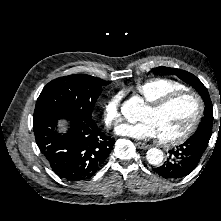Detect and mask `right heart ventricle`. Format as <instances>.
<instances>
[{
    "label": "right heart ventricle",
    "mask_w": 221,
    "mask_h": 221,
    "mask_svg": "<svg viewBox=\"0 0 221 221\" xmlns=\"http://www.w3.org/2000/svg\"><path fill=\"white\" fill-rule=\"evenodd\" d=\"M186 89L185 85L173 79L156 77L137 83L132 90L149 103L166 94Z\"/></svg>",
    "instance_id": "right-heart-ventricle-1"
}]
</instances>
